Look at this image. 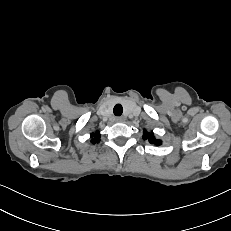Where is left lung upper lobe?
<instances>
[{"label": "left lung upper lobe", "instance_id": "5c2ea615", "mask_svg": "<svg viewBox=\"0 0 231 231\" xmlns=\"http://www.w3.org/2000/svg\"><path fill=\"white\" fill-rule=\"evenodd\" d=\"M143 139L146 140L148 139L150 143H154L155 145H160L161 141L160 140H156L153 132L148 133L146 130H144V134H143Z\"/></svg>", "mask_w": 231, "mask_h": 231}]
</instances>
